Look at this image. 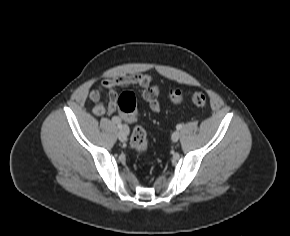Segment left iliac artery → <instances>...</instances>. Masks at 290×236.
I'll list each match as a JSON object with an SVG mask.
<instances>
[{"label":"left iliac artery","mask_w":290,"mask_h":236,"mask_svg":"<svg viewBox=\"0 0 290 236\" xmlns=\"http://www.w3.org/2000/svg\"><path fill=\"white\" fill-rule=\"evenodd\" d=\"M176 128H177L178 130H180V129L182 128V125H181V124H178V125L176 126Z\"/></svg>","instance_id":"44dca946"}]
</instances>
